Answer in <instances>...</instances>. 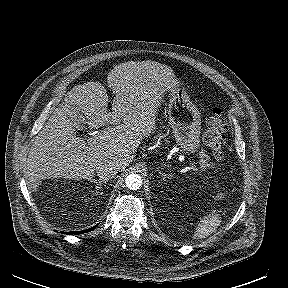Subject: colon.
I'll list each match as a JSON object with an SVG mask.
<instances>
[{"label":"colon","instance_id":"5ec220e1","mask_svg":"<svg viewBox=\"0 0 288 288\" xmlns=\"http://www.w3.org/2000/svg\"><path fill=\"white\" fill-rule=\"evenodd\" d=\"M227 129V123L224 114L220 110H214L206 121V130L203 135V141L212 151L217 160L224 158L225 138L224 133Z\"/></svg>","mask_w":288,"mask_h":288}]
</instances>
